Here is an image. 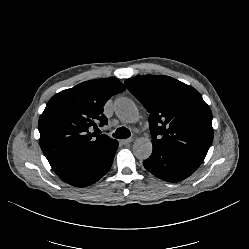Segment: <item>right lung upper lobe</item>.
Wrapping results in <instances>:
<instances>
[{
  "label": "right lung upper lobe",
  "instance_id": "right-lung-upper-lobe-1",
  "mask_svg": "<svg viewBox=\"0 0 249 249\" xmlns=\"http://www.w3.org/2000/svg\"><path fill=\"white\" fill-rule=\"evenodd\" d=\"M124 90V85L115 78L96 79L50 99L39 118V142L57 175L88 161L115 140L90 131L92 126L98 129L97 123L107 124L103 106L111 96Z\"/></svg>",
  "mask_w": 249,
  "mask_h": 249
}]
</instances>
